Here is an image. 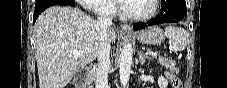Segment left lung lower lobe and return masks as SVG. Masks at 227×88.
Returning a JSON list of instances; mask_svg holds the SVG:
<instances>
[{"mask_svg": "<svg viewBox=\"0 0 227 88\" xmlns=\"http://www.w3.org/2000/svg\"><path fill=\"white\" fill-rule=\"evenodd\" d=\"M161 14L148 23L134 24V30H140L147 26L161 23H177L187 14L185 0H161Z\"/></svg>", "mask_w": 227, "mask_h": 88, "instance_id": "left-lung-lower-lobe-1", "label": "left lung lower lobe"}]
</instances>
